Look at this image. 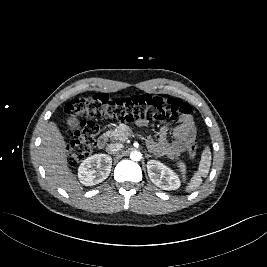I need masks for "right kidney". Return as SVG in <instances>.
Returning a JSON list of instances; mask_svg holds the SVG:
<instances>
[{"instance_id": "right-kidney-1", "label": "right kidney", "mask_w": 267, "mask_h": 267, "mask_svg": "<svg viewBox=\"0 0 267 267\" xmlns=\"http://www.w3.org/2000/svg\"><path fill=\"white\" fill-rule=\"evenodd\" d=\"M112 158L106 154H95L86 158L78 168V178L85 186H94L110 174Z\"/></svg>"}]
</instances>
